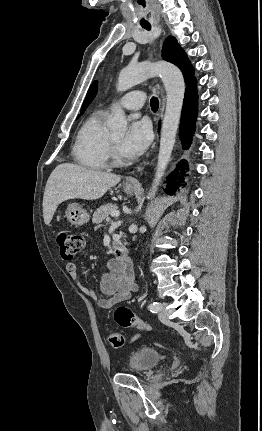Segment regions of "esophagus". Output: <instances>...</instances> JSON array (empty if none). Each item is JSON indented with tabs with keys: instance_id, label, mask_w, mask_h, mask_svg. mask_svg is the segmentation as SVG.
Wrapping results in <instances>:
<instances>
[{
	"instance_id": "1",
	"label": "esophagus",
	"mask_w": 262,
	"mask_h": 431,
	"mask_svg": "<svg viewBox=\"0 0 262 431\" xmlns=\"http://www.w3.org/2000/svg\"><path fill=\"white\" fill-rule=\"evenodd\" d=\"M164 36H165V33H164ZM142 170H143V165H141L137 168V173H141ZM126 184L130 185V186H140V183H139L137 177H129L126 180Z\"/></svg>"
}]
</instances>
